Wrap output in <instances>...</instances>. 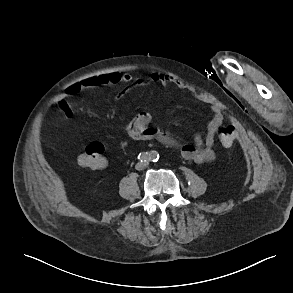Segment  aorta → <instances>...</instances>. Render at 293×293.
Here are the masks:
<instances>
[{
  "instance_id": "obj_1",
  "label": "aorta",
  "mask_w": 293,
  "mask_h": 293,
  "mask_svg": "<svg viewBox=\"0 0 293 293\" xmlns=\"http://www.w3.org/2000/svg\"><path fill=\"white\" fill-rule=\"evenodd\" d=\"M155 155H156V153H155V152H153V153H152V156H155Z\"/></svg>"
}]
</instances>
